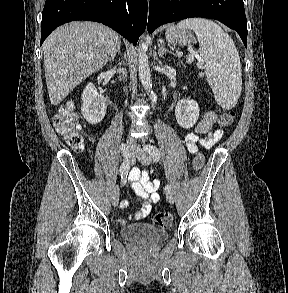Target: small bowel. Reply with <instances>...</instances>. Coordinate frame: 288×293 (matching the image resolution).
Here are the masks:
<instances>
[{
	"instance_id": "c3829d8e",
	"label": "small bowel",
	"mask_w": 288,
	"mask_h": 293,
	"mask_svg": "<svg viewBox=\"0 0 288 293\" xmlns=\"http://www.w3.org/2000/svg\"><path fill=\"white\" fill-rule=\"evenodd\" d=\"M215 120L216 114L213 111H208L204 114L196 128L184 136V142L189 153H196L199 145L211 148L221 140L223 131L212 129ZM200 135H204V137H200ZM129 180L141 204V208L135 211L131 218L141 220L150 213L152 205L160 199L158 193L160 181L158 179H150L148 173L141 171L138 167H134L131 170ZM127 205L128 202L123 201L121 208H125ZM120 222L123 223L124 221L120 220Z\"/></svg>"
}]
</instances>
